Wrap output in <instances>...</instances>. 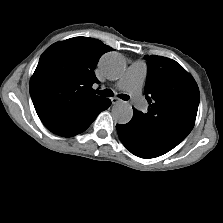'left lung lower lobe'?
I'll list each match as a JSON object with an SVG mask.
<instances>
[{
	"label": "left lung lower lobe",
	"instance_id": "obj_1",
	"mask_svg": "<svg viewBox=\"0 0 223 223\" xmlns=\"http://www.w3.org/2000/svg\"><path fill=\"white\" fill-rule=\"evenodd\" d=\"M116 129L124 146L142 158L161 156L177 146L162 138L149 135L133 118L127 124L116 125Z\"/></svg>",
	"mask_w": 223,
	"mask_h": 223
}]
</instances>
